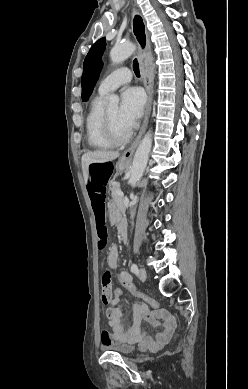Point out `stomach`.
<instances>
[{
	"label": "stomach",
	"mask_w": 248,
	"mask_h": 389,
	"mask_svg": "<svg viewBox=\"0 0 248 389\" xmlns=\"http://www.w3.org/2000/svg\"><path fill=\"white\" fill-rule=\"evenodd\" d=\"M126 166H127V162L119 160L116 164V169L121 172L125 169ZM116 186L118 187L119 185L117 184ZM108 213H109V218L111 220H114L113 221L114 225H118L119 224L118 220H122L123 216L122 213H120L117 204L112 203Z\"/></svg>",
	"instance_id": "1"
}]
</instances>
